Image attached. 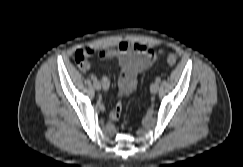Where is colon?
I'll return each instance as SVG.
<instances>
[{
  "instance_id": "colon-1",
  "label": "colon",
  "mask_w": 243,
  "mask_h": 167,
  "mask_svg": "<svg viewBox=\"0 0 243 167\" xmlns=\"http://www.w3.org/2000/svg\"><path fill=\"white\" fill-rule=\"evenodd\" d=\"M90 49L81 48L75 52L74 58L78 64H82L90 56ZM166 61L169 65H174L177 61V57L174 54H168Z\"/></svg>"
}]
</instances>
